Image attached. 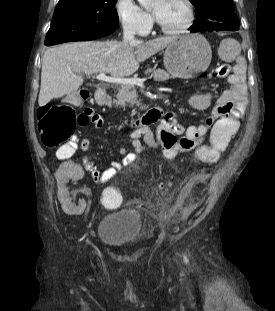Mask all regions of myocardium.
Listing matches in <instances>:
<instances>
[{
    "mask_svg": "<svg viewBox=\"0 0 275 311\" xmlns=\"http://www.w3.org/2000/svg\"><path fill=\"white\" fill-rule=\"evenodd\" d=\"M182 1L184 2V4L187 7L188 18H187L186 22L182 26H180L178 28H167V27L163 26L158 21V19L155 17V15L152 14L158 29L162 33L169 34V35L180 34V33H183L185 31H187L192 26V24H193V22L195 20V8H194V5H193V2H192V0H182Z\"/></svg>",
    "mask_w": 275,
    "mask_h": 311,
    "instance_id": "obj_1",
    "label": "myocardium"
}]
</instances>
